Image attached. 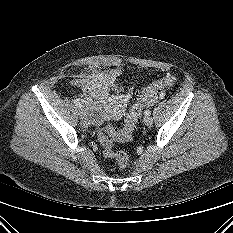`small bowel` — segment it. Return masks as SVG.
<instances>
[{"label": "small bowel", "instance_id": "c3829d8e", "mask_svg": "<svg viewBox=\"0 0 233 233\" xmlns=\"http://www.w3.org/2000/svg\"><path fill=\"white\" fill-rule=\"evenodd\" d=\"M121 75L120 69H111L105 73H100L97 70L90 69L83 72L81 75L72 80V85L86 94L92 95L103 101L109 108L114 117H119L126 103L131 97L132 86L127 91L121 90L117 83V79ZM111 90L120 91L113 99L109 98Z\"/></svg>", "mask_w": 233, "mask_h": 233}]
</instances>
